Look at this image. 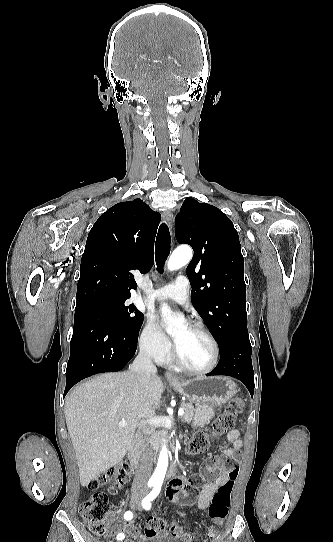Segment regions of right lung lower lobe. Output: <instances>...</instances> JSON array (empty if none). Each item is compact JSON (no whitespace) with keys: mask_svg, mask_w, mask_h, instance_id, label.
I'll return each mask as SVG.
<instances>
[{"mask_svg":"<svg viewBox=\"0 0 333 542\" xmlns=\"http://www.w3.org/2000/svg\"><path fill=\"white\" fill-rule=\"evenodd\" d=\"M138 333L124 331L96 307L76 305L64 396L86 377L123 369L136 352Z\"/></svg>","mask_w":333,"mask_h":542,"instance_id":"1","label":"right lung lower lobe"}]
</instances>
